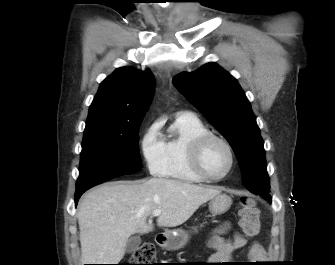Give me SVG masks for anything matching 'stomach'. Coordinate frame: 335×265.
Here are the masks:
<instances>
[{
    "label": "stomach",
    "instance_id": "obj_1",
    "mask_svg": "<svg viewBox=\"0 0 335 265\" xmlns=\"http://www.w3.org/2000/svg\"><path fill=\"white\" fill-rule=\"evenodd\" d=\"M232 199L227 194L220 193L213 197L209 203V210L213 216L225 213L231 206ZM166 240L162 247L167 250H179L183 248L189 240L188 232L184 230H175L166 234Z\"/></svg>",
    "mask_w": 335,
    "mask_h": 265
}]
</instances>
